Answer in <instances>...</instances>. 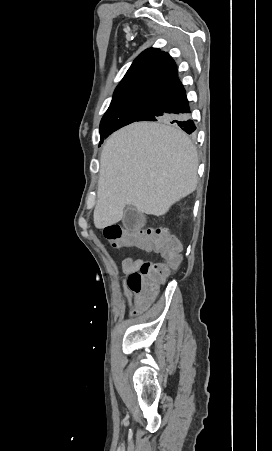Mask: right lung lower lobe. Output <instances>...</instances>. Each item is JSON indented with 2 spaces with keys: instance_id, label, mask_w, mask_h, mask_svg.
Here are the masks:
<instances>
[{
  "instance_id": "98d812e1",
  "label": "right lung lower lobe",
  "mask_w": 272,
  "mask_h": 451,
  "mask_svg": "<svg viewBox=\"0 0 272 451\" xmlns=\"http://www.w3.org/2000/svg\"><path fill=\"white\" fill-rule=\"evenodd\" d=\"M190 114L186 91L175 77L151 97L148 110L136 121H169L190 134L196 129Z\"/></svg>"
}]
</instances>
